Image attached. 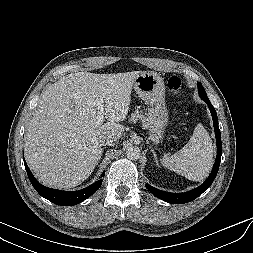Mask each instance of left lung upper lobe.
<instances>
[{
  "label": "left lung upper lobe",
  "instance_id": "obj_1",
  "mask_svg": "<svg viewBox=\"0 0 253 253\" xmlns=\"http://www.w3.org/2000/svg\"><path fill=\"white\" fill-rule=\"evenodd\" d=\"M198 91H199V96L202 100L208 99L207 94H206L203 86L200 83H198Z\"/></svg>",
  "mask_w": 253,
  "mask_h": 253
}]
</instances>
